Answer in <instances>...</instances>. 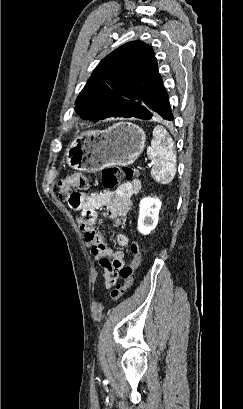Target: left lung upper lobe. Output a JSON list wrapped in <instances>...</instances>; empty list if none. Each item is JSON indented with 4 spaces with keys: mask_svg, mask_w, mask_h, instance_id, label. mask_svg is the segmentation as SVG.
I'll list each match as a JSON object with an SVG mask.
<instances>
[{
    "mask_svg": "<svg viewBox=\"0 0 243 409\" xmlns=\"http://www.w3.org/2000/svg\"><path fill=\"white\" fill-rule=\"evenodd\" d=\"M161 82L153 49L142 41L128 42L98 64L75 102V111L94 122L111 112L122 116L126 105Z\"/></svg>",
    "mask_w": 243,
    "mask_h": 409,
    "instance_id": "obj_1",
    "label": "left lung upper lobe"
}]
</instances>
